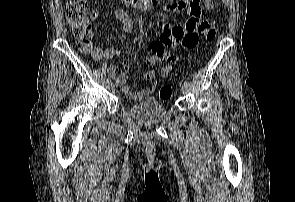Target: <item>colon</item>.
Wrapping results in <instances>:
<instances>
[{"instance_id": "obj_1", "label": "colon", "mask_w": 295, "mask_h": 202, "mask_svg": "<svg viewBox=\"0 0 295 202\" xmlns=\"http://www.w3.org/2000/svg\"><path fill=\"white\" fill-rule=\"evenodd\" d=\"M65 17L69 29L79 41V47L84 52L91 51V45L88 42V37L91 35V25L87 17L86 0H67L64 6ZM217 33V25L215 22H209L206 26V40L212 41ZM145 61L149 68H154L157 64L156 52H149V56H145ZM146 75H155V70H146ZM149 90H158V80H148ZM172 88L170 85H164L159 90V96L162 99H170Z\"/></svg>"}]
</instances>
